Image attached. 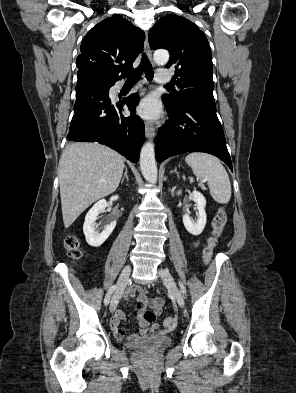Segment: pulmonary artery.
Listing matches in <instances>:
<instances>
[{"mask_svg":"<svg viewBox=\"0 0 296 393\" xmlns=\"http://www.w3.org/2000/svg\"><path fill=\"white\" fill-rule=\"evenodd\" d=\"M171 79L169 73L166 70H158L156 73V82L158 83H167Z\"/></svg>","mask_w":296,"mask_h":393,"instance_id":"obj_1","label":"pulmonary artery"}]
</instances>
